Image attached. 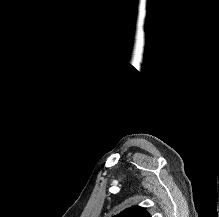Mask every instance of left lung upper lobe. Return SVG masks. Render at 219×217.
I'll list each match as a JSON object with an SVG mask.
<instances>
[{"mask_svg": "<svg viewBox=\"0 0 219 217\" xmlns=\"http://www.w3.org/2000/svg\"><path fill=\"white\" fill-rule=\"evenodd\" d=\"M115 217H150V215L145 208L140 206H133L131 208L125 209Z\"/></svg>", "mask_w": 219, "mask_h": 217, "instance_id": "obj_1", "label": "left lung upper lobe"}]
</instances>
